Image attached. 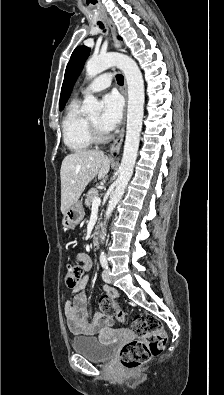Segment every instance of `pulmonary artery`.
I'll return each instance as SVG.
<instances>
[{
  "label": "pulmonary artery",
  "mask_w": 224,
  "mask_h": 395,
  "mask_svg": "<svg viewBox=\"0 0 224 395\" xmlns=\"http://www.w3.org/2000/svg\"><path fill=\"white\" fill-rule=\"evenodd\" d=\"M112 75L110 73H104L93 79L87 86H85L81 93L87 95L90 93H96L101 90L108 88L112 83Z\"/></svg>",
  "instance_id": "1"
}]
</instances>
